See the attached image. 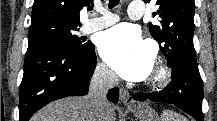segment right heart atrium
Segmentation results:
<instances>
[{
    "instance_id": "obj_1",
    "label": "right heart atrium",
    "mask_w": 217,
    "mask_h": 121,
    "mask_svg": "<svg viewBox=\"0 0 217 121\" xmlns=\"http://www.w3.org/2000/svg\"><path fill=\"white\" fill-rule=\"evenodd\" d=\"M96 75L104 81H110L113 79V74L103 63L97 64Z\"/></svg>"
}]
</instances>
